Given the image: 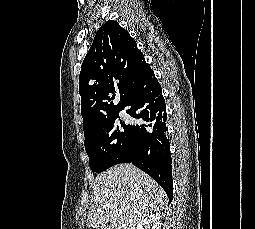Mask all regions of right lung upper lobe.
<instances>
[{"mask_svg": "<svg viewBox=\"0 0 255 229\" xmlns=\"http://www.w3.org/2000/svg\"><path fill=\"white\" fill-rule=\"evenodd\" d=\"M147 67L135 40L118 22L108 20L98 30L79 76L85 141L124 108L136 76ZM115 92L120 94L117 105L112 101Z\"/></svg>", "mask_w": 255, "mask_h": 229, "instance_id": "cb5924a9", "label": "right lung upper lobe"}]
</instances>
